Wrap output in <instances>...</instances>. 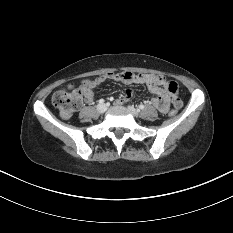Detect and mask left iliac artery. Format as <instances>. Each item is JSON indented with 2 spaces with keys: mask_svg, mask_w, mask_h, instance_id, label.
Here are the masks:
<instances>
[{
  "mask_svg": "<svg viewBox=\"0 0 233 233\" xmlns=\"http://www.w3.org/2000/svg\"><path fill=\"white\" fill-rule=\"evenodd\" d=\"M138 108H139L140 110H142V109H144V105H143V104H140V105L138 106Z\"/></svg>",
  "mask_w": 233,
  "mask_h": 233,
  "instance_id": "44dca946",
  "label": "left iliac artery"
}]
</instances>
